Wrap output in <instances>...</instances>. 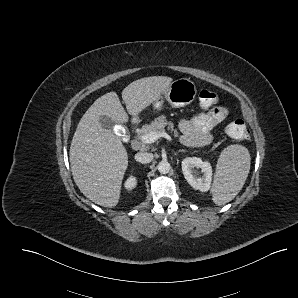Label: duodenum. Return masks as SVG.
I'll return each mask as SVG.
<instances>
[{"mask_svg":"<svg viewBox=\"0 0 298 298\" xmlns=\"http://www.w3.org/2000/svg\"><path fill=\"white\" fill-rule=\"evenodd\" d=\"M187 142H188V140H184V143H187ZM132 148L134 150H138L140 148V143L138 141H133L132 142Z\"/></svg>","mask_w":298,"mask_h":298,"instance_id":"1","label":"duodenum"}]
</instances>
